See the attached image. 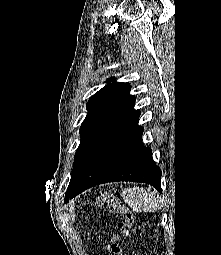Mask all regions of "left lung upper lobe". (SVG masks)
<instances>
[{
	"mask_svg": "<svg viewBox=\"0 0 221 255\" xmlns=\"http://www.w3.org/2000/svg\"><path fill=\"white\" fill-rule=\"evenodd\" d=\"M114 81V78L107 80ZM130 84L108 83L89 99L87 116L81 128V141L74 157L71 180L65 195V203L78 182L89 159L105 137L135 109V97L129 94Z\"/></svg>",
	"mask_w": 221,
	"mask_h": 255,
	"instance_id": "5c2ea615",
	"label": "left lung upper lobe"
}]
</instances>
